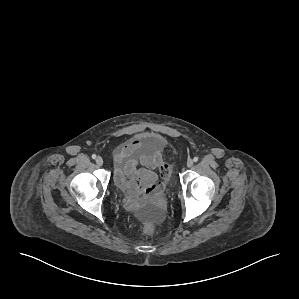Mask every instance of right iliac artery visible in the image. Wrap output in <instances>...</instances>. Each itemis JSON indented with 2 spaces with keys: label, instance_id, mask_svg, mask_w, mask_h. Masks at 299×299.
<instances>
[{
  "label": "right iliac artery",
  "instance_id": "82829eb1",
  "mask_svg": "<svg viewBox=\"0 0 299 299\" xmlns=\"http://www.w3.org/2000/svg\"><path fill=\"white\" fill-rule=\"evenodd\" d=\"M92 158H93V159H96V155H95V154H93V155H92Z\"/></svg>",
  "mask_w": 299,
  "mask_h": 299
}]
</instances>
